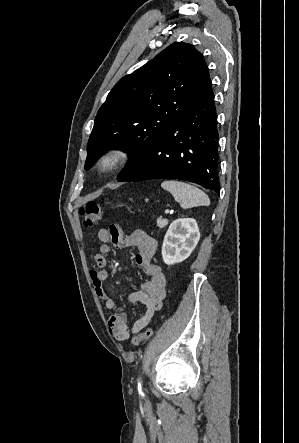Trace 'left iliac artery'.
I'll return each instance as SVG.
<instances>
[{"mask_svg":"<svg viewBox=\"0 0 299 443\" xmlns=\"http://www.w3.org/2000/svg\"><path fill=\"white\" fill-rule=\"evenodd\" d=\"M138 390H141V383H140V381L138 382Z\"/></svg>","mask_w":299,"mask_h":443,"instance_id":"1","label":"left iliac artery"}]
</instances>
